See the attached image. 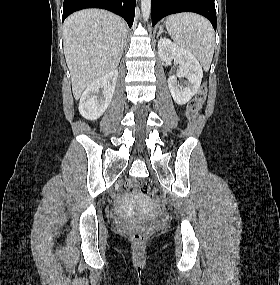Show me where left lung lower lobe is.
I'll list each match as a JSON object with an SVG mask.
<instances>
[{
    "label": "left lung lower lobe",
    "mask_w": 280,
    "mask_h": 285,
    "mask_svg": "<svg viewBox=\"0 0 280 285\" xmlns=\"http://www.w3.org/2000/svg\"><path fill=\"white\" fill-rule=\"evenodd\" d=\"M152 26L161 18L179 12H195L205 16L216 30L214 0H152Z\"/></svg>",
    "instance_id": "0a47b994"
}]
</instances>
